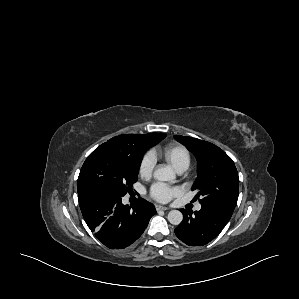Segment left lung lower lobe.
Masks as SVG:
<instances>
[{
	"label": "left lung lower lobe",
	"instance_id": "obj_1",
	"mask_svg": "<svg viewBox=\"0 0 299 299\" xmlns=\"http://www.w3.org/2000/svg\"><path fill=\"white\" fill-rule=\"evenodd\" d=\"M181 212L184 219L175 229V234L185 244L192 246H202L213 240L230 219L208 206H201L194 213L185 209Z\"/></svg>",
	"mask_w": 299,
	"mask_h": 299
}]
</instances>
